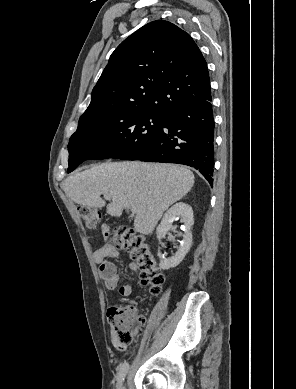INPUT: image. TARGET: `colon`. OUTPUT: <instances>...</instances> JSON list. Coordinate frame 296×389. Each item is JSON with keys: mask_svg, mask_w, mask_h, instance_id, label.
<instances>
[{"mask_svg": "<svg viewBox=\"0 0 296 389\" xmlns=\"http://www.w3.org/2000/svg\"><path fill=\"white\" fill-rule=\"evenodd\" d=\"M78 212L88 228L97 227L101 219L98 209L80 206ZM106 236L115 249L127 250L132 259L137 262L140 268L141 286L149 289L153 294L159 293L164 283V274L145 237L128 227H117L112 232L107 230ZM107 317L111 326L112 343L119 350H126L135 342L139 335V328L145 321L131 304L109 308Z\"/></svg>", "mask_w": 296, "mask_h": 389, "instance_id": "5ec220e1", "label": "colon"}]
</instances>
